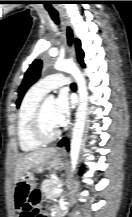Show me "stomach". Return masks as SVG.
<instances>
[{
	"label": "stomach",
	"instance_id": "0dacf381",
	"mask_svg": "<svg viewBox=\"0 0 132 217\" xmlns=\"http://www.w3.org/2000/svg\"><path fill=\"white\" fill-rule=\"evenodd\" d=\"M66 165L65 158L61 154L57 153L53 158L44 165L35 167L32 171L28 170L24 172L18 181L15 183V188L29 187L32 190L35 187L34 172L42 173L45 169L48 170H62Z\"/></svg>",
	"mask_w": 132,
	"mask_h": 217
}]
</instances>
